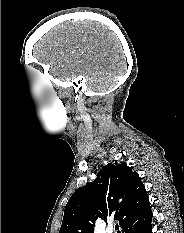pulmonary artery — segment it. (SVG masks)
<instances>
[{"label": "pulmonary artery", "mask_w": 184, "mask_h": 233, "mask_svg": "<svg viewBox=\"0 0 184 233\" xmlns=\"http://www.w3.org/2000/svg\"><path fill=\"white\" fill-rule=\"evenodd\" d=\"M112 231H113L112 228H110L109 233H112Z\"/></svg>", "instance_id": "e3ab8cb5"}]
</instances>
